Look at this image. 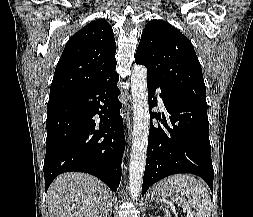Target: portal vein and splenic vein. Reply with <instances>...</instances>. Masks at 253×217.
<instances>
[{"label": "portal vein and splenic vein", "instance_id": "1", "mask_svg": "<svg viewBox=\"0 0 253 217\" xmlns=\"http://www.w3.org/2000/svg\"><path fill=\"white\" fill-rule=\"evenodd\" d=\"M168 212V211H167ZM187 214L190 215L192 217V212L191 211H187Z\"/></svg>", "mask_w": 253, "mask_h": 217}]
</instances>
